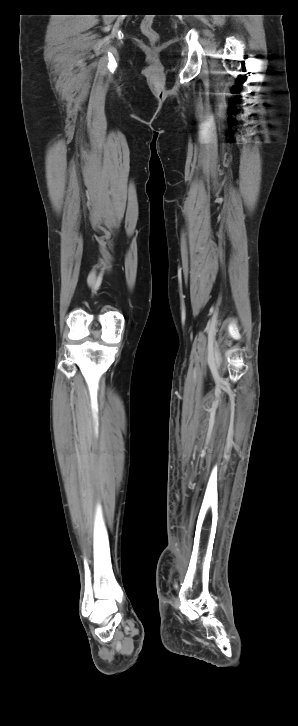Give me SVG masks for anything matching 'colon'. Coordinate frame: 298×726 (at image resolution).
Here are the masks:
<instances>
[{"label": "colon", "mask_w": 298, "mask_h": 726, "mask_svg": "<svg viewBox=\"0 0 298 726\" xmlns=\"http://www.w3.org/2000/svg\"><path fill=\"white\" fill-rule=\"evenodd\" d=\"M141 31L152 42L158 39V33L153 27L152 17H147L143 19L141 23Z\"/></svg>", "instance_id": "1"}]
</instances>
